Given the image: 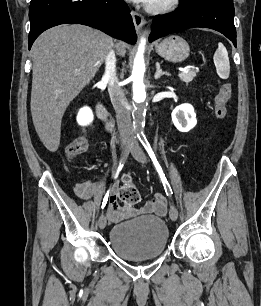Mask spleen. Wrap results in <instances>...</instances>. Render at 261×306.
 <instances>
[{"mask_svg": "<svg viewBox=\"0 0 261 306\" xmlns=\"http://www.w3.org/2000/svg\"><path fill=\"white\" fill-rule=\"evenodd\" d=\"M213 60L218 76L221 79H227L230 74V63L228 52L222 43L218 44V49L214 54Z\"/></svg>", "mask_w": 261, "mask_h": 306, "instance_id": "spleen-1", "label": "spleen"}]
</instances>
